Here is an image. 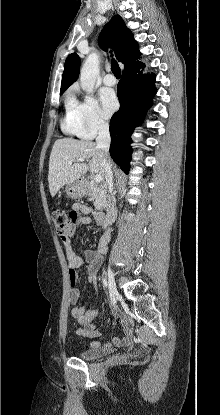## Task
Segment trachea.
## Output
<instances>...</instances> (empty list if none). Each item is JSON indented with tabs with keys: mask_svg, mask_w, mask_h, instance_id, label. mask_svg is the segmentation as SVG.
Here are the masks:
<instances>
[{
	"mask_svg": "<svg viewBox=\"0 0 220 415\" xmlns=\"http://www.w3.org/2000/svg\"><path fill=\"white\" fill-rule=\"evenodd\" d=\"M111 70H112V73L115 75L116 78H120L121 69H120L118 63L114 59L111 61Z\"/></svg>",
	"mask_w": 220,
	"mask_h": 415,
	"instance_id": "1",
	"label": "trachea"
}]
</instances>
